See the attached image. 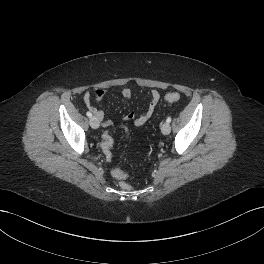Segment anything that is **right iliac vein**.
Listing matches in <instances>:
<instances>
[{"instance_id":"63e3f726","label":"right iliac vein","mask_w":264,"mask_h":264,"mask_svg":"<svg viewBox=\"0 0 264 264\" xmlns=\"http://www.w3.org/2000/svg\"><path fill=\"white\" fill-rule=\"evenodd\" d=\"M89 123H90V126L94 129H97L99 127V120L95 116H92L90 118Z\"/></svg>"}]
</instances>
